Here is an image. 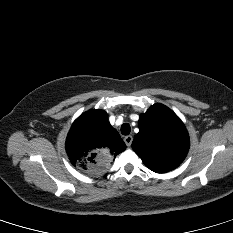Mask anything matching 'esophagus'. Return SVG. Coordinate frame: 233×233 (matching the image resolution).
I'll return each instance as SVG.
<instances>
[{
  "label": "esophagus",
  "mask_w": 233,
  "mask_h": 233,
  "mask_svg": "<svg viewBox=\"0 0 233 233\" xmlns=\"http://www.w3.org/2000/svg\"><path fill=\"white\" fill-rule=\"evenodd\" d=\"M132 141H133V137L130 136V135H128V136H126V137L124 138V142H125V144H126L128 147L131 146Z\"/></svg>",
  "instance_id": "obj_1"
}]
</instances>
